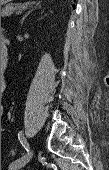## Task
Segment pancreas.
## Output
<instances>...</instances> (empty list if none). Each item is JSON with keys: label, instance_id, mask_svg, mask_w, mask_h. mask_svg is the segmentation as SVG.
<instances>
[{"label": "pancreas", "instance_id": "1", "mask_svg": "<svg viewBox=\"0 0 109 170\" xmlns=\"http://www.w3.org/2000/svg\"><path fill=\"white\" fill-rule=\"evenodd\" d=\"M19 7V6H18ZM17 9L15 5H7L5 8L1 9V17H9Z\"/></svg>", "mask_w": 109, "mask_h": 170}]
</instances>
